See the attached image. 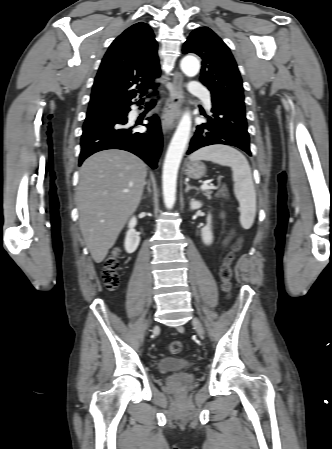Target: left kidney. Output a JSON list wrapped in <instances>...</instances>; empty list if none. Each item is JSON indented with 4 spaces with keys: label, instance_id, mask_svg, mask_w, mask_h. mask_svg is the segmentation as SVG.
<instances>
[{
    "label": "left kidney",
    "instance_id": "left-kidney-1",
    "mask_svg": "<svg viewBox=\"0 0 332 449\" xmlns=\"http://www.w3.org/2000/svg\"><path fill=\"white\" fill-rule=\"evenodd\" d=\"M202 204L199 201L191 200L190 207L192 210L199 209ZM202 241L206 245H210L213 240L212 230H211V215L209 214L207 217V225L201 230Z\"/></svg>",
    "mask_w": 332,
    "mask_h": 449
}]
</instances>
